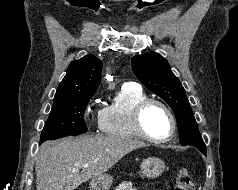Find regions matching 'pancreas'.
<instances>
[{"instance_id":"1","label":"pancreas","mask_w":238,"mask_h":190,"mask_svg":"<svg viewBox=\"0 0 238 190\" xmlns=\"http://www.w3.org/2000/svg\"><path fill=\"white\" fill-rule=\"evenodd\" d=\"M115 190H136V188H134V187L132 186V182H131V181H129V182L124 181V182L120 183V184L115 188Z\"/></svg>"}]
</instances>
